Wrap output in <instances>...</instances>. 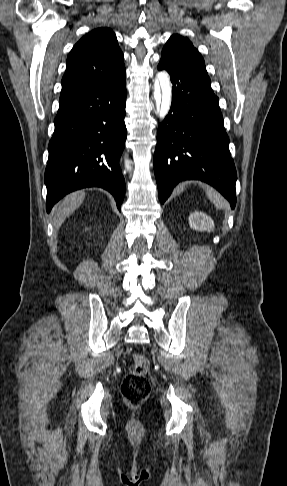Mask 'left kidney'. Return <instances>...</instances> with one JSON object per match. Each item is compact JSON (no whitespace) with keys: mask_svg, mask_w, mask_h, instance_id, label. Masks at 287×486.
Returning <instances> with one entry per match:
<instances>
[{"mask_svg":"<svg viewBox=\"0 0 287 486\" xmlns=\"http://www.w3.org/2000/svg\"><path fill=\"white\" fill-rule=\"evenodd\" d=\"M189 225L195 231H207L211 232L214 230V222L207 214L203 212L195 211L189 216Z\"/></svg>","mask_w":287,"mask_h":486,"instance_id":"1","label":"left kidney"}]
</instances>
